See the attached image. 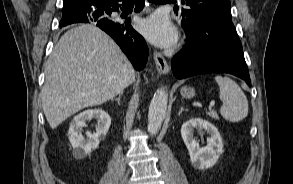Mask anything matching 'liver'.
I'll list each match as a JSON object with an SVG mask.
<instances>
[{
	"label": "liver",
	"instance_id": "obj_1",
	"mask_svg": "<svg viewBox=\"0 0 293 184\" xmlns=\"http://www.w3.org/2000/svg\"><path fill=\"white\" fill-rule=\"evenodd\" d=\"M135 71L114 40L94 25H78L60 38L45 66L43 112L52 129L86 108L122 93Z\"/></svg>",
	"mask_w": 293,
	"mask_h": 184
}]
</instances>
